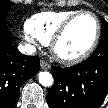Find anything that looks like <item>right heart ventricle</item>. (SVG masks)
<instances>
[{
    "mask_svg": "<svg viewBox=\"0 0 108 108\" xmlns=\"http://www.w3.org/2000/svg\"><path fill=\"white\" fill-rule=\"evenodd\" d=\"M77 11H44L33 15L26 23L27 31L40 43L49 44L53 35Z\"/></svg>",
    "mask_w": 108,
    "mask_h": 108,
    "instance_id": "e07e8e85",
    "label": "right heart ventricle"
}]
</instances>
